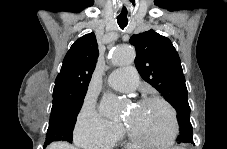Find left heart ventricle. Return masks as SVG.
Listing matches in <instances>:
<instances>
[{"label":"left heart ventricle","instance_id":"1","mask_svg":"<svg viewBox=\"0 0 227 149\" xmlns=\"http://www.w3.org/2000/svg\"><path fill=\"white\" fill-rule=\"evenodd\" d=\"M124 121L128 122L138 135L154 141L166 140L173 128L169 110L156 102L130 109L124 116Z\"/></svg>","mask_w":227,"mask_h":149}]
</instances>
